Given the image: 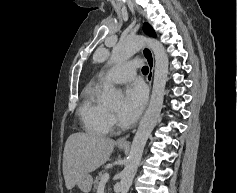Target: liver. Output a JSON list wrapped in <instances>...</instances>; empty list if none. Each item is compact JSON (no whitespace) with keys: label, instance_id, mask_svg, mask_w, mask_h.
I'll return each mask as SVG.
<instances>
[{"label":"liver","instance_id":"obj_1","mask_svg":"<svg viewBox=\"0 0 237 193\" xmlns=\"http://www.w3.org/2000/svg\"><path fill=\"white\" fill-rule=\"evenodd\" d=\"M115 141L99 134H71L63 153L65 185L71 190L86 174L95 171L109 159Z\"/></svg>","mask_w":237,"mask_h":193}]
</instances>
